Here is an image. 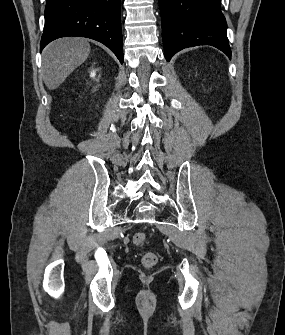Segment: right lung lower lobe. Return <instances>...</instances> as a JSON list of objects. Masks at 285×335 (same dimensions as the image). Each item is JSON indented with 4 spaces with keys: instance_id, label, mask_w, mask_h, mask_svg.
<instances>
[{
    "instance_id": "obj_1",
    "label": "right lung lower lobe",
    "mask_w": 285,
    "mask_h": 335,
    "mask_svg": "<svg viewBox=\"0 0 285 335\" xmlns=\"http://www.w3.org/2000/svg\"><path fill=\"white\" fill-rule=\"evenodd\" d=\"M121 0H47L40 51L67 36L87 37L106 45L123 63Z\"/></svg>"
}]
</instances>
